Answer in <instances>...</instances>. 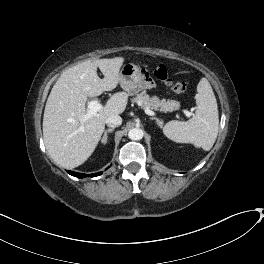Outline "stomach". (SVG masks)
Returning <instances> with one entry per match:
<instances>
[{
  "label": "stomach",
  "instance_id": "stomach-1",
  "mask_svg": "<svg viewBox=\"0 0 264 264\" xmlns=\"http://www.w3.org/2000/svg\"><path fill=\"white\" fill-rule=\"evenodd\" d=\"M119 83L128 94H136L142 88L144 74L137 65L133 63L125 64L119 74Z\"/></svg>",
  "mask_w": 264,
  "mask_h": 264
}]
</instances>
